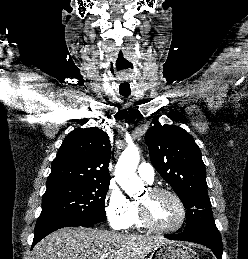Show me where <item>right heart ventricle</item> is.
Instances as JSON below:
<instances>
[{
	"label": "right heart ventricle",
	"instance_id": "obj_1",
	"mask_svg": "<svg viewBox=\"0 0 248 259\" xmlns=\"http://www.w3.org/2000/svg\"><path fill=\"white\" fill-rule=\"evenodd\" d=\"M128 227H134L138 229L143 227L139 218L138 203L135 201L132 202V213Z\"/></svg>",
	"mask_w": 248,
	"mask_h": 259
}]
</instances>
